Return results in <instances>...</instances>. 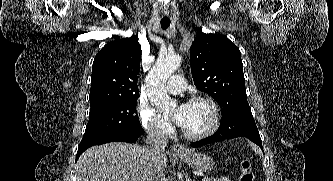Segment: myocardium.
I'll use <instances>...</instances> for the list:
<instances>
[{
	"instance_id": "myocardium-1",
	"label": "myocardium",
	"mask_w": 333,
	"mask_h": 181,
	"mask_svg": "<svg viewBox=\"0 0 333 181\" xmlns=\"http://www.w3.org/2000/svg\"><path fill=\"white\" fill-rule=\"evenodd\" d=\"M197 102H203L207 104L211 112V122L206 129L196 133H190L182 129V134L187 139L199 140L206 138L211 134H213L218 129L220 124V111L214 99H212L209 96L198 95V96H193L188 100V104L197 103Z\"/></svg>"
}]
</instances>
